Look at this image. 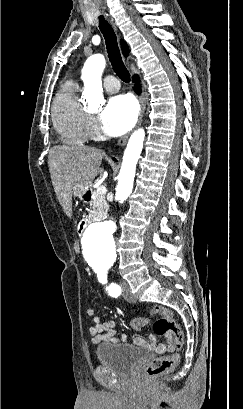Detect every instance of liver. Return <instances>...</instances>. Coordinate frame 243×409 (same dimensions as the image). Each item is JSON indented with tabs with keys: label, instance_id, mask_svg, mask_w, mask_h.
Wrapping results in <instances>:
<instances>
[{
	"label": "liver",
	"instance_id": "obj_1",
	"mask_svg": "<svg viewBox=\"0 0 243 409\" xmlns=\"http://www.w3.org/2000/svg\"><path fill=\"white\" fill-rule=\"evenodd\" d=\"M104 152L88 146H54L49 151L48 166L56 196L67 216L72 214L74 184L88 186L101 175Z\"/></svg>",
	"mask_w": 243,
	"mask_h": 409
}]
</instances>
